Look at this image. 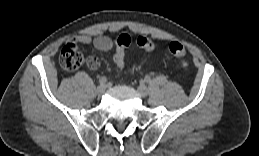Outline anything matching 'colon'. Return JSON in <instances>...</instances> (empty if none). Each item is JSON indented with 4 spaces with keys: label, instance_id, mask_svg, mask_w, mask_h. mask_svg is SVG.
Masks as SVG:
<instances>
[{
    "label": "colon",
    "instance_id": "colon-1",
    "mask_svg": "<svg viewBox=\"0 0 259 156\" xmlns=\"http://www.w3.org/2000/svg\"><path fill=\"white\" fill-rule=\"evenodd\" d=\"M132 39L128 34H120L115 38L116 50L114 54V62L118 69L122 70L125 66V49L131 44ZM136 44L145 50L151 52L154 50V43L145 36L136 38ZM169 52L176 58L181 60L183 69L188 68L186 59V50L180 42H172L169 45ZM60 64L69 72L75 71L80 68L83 63V57L75 46L67 44L60 53Z\"/></svg>",
    "mask_w": 259,
    "mask_h": 156
}]
</instances>
